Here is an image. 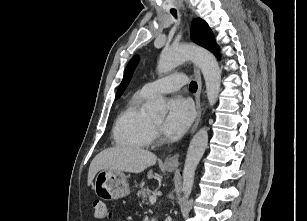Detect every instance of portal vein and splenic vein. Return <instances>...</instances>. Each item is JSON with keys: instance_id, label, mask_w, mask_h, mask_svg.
Here are the masks:
<instances>
[{"instance_id": "obj_1", "label": "portal vein and splenic vein", "mask_w": 307, "mask_h": 221, "mask_svg": "<svg viewBox=\"0 0 307 221\" xmlns=\"http://www.w3.org/2000/svg\"><path fill=\"white\" fill-rule=\"evenodd\" d=\"M149 202L151 204H154L156 202V197H154V196L149 197Z\"/></svg>"}]
</instances>
